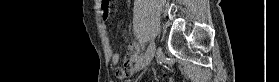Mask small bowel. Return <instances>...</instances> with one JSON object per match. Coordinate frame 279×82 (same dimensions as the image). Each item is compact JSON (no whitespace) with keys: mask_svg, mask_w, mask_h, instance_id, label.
<instances>
[{"mask_svg":"<svg viewBox=\"0 0 279 82\" xmlns=\"http://www.w3.org/2000/svg\"><path fill=\"white\" fill-rule=\"evenodd\" d=\"M98 7L101 10L104 19H107L110 15V1L99 0ZM108 49L110 50V60L114 65L120 62V54L118 52L111 51V47L108 44ZM140 46L138 44H131L127 50L124 57V67H116L115 74L118 78L123 79L127 76V72L130 71L135 63L136 57L139 55Z\"/></svg>","mask_w":279,"mask_h":82,"instance_id":"1","label":"small bowel"}]
</instances>
